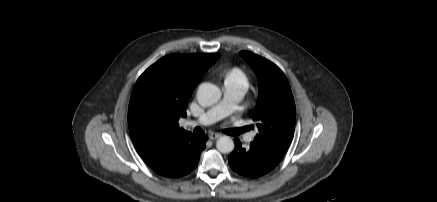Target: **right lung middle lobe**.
<instances>
[{
    "instance_id": "right-lung-middle-lobe-1",
    "label": "right lung middle lobe",
    "mask_w": 437,
    "mask_h": 202,
    "mask_svg": "<svg viewBox=\"0 0 437 202\" xmlns=\"http://www.w3.org/2000/svg\"><path fill=\"white\" fill-rule=\"evenodd\" d=\"M157 83H158V78L154 77L146 88L147 93H151L155 89Z\"/></svg>"
}]
</instances>
